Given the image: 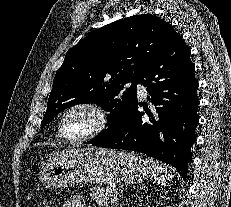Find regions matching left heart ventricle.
Wrapping results in <instances>:
<instances>
[{"label": "left heart ventricle", "mask_w": 231, "mask_h": 207, "mask_svg": "<svg viewBox=\"0 0 231 207\" xmlns=\"http://www.w3.org/2000/svg\"><path fill=\"white\" fill-rule=\"evenodd\" d=\"M96 123L93 113L86 109H76L65 119L64 128L69 137H81L90 132Z\"/></svg>", "instance_id": "obj_1"}]
</instances>
